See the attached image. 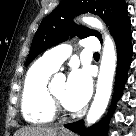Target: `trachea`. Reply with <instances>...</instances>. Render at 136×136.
Returning a JSON list of instances; mask_svg holds the SVG:
<instances>
[{"mask_svg": "<svg viewBox=\"0 0 136 136\" xmlns=\"http://www.w3.org/2000/svg\"><path fill=\"white\" fill-rule=\"evenodd\" d=\"M94 56H99V53H94Z\"/></svg>", "mask_w": 136, "mask_h": 136, "instance_id": "trachea-1", "label": "trachea"}]
</instances>
